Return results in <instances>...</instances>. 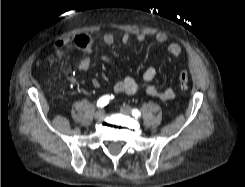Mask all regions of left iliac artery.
I'll list each match as a JSON object with an SVG mask.
<instances>
[{"label":"left iliac artery","instance_id":"left-iliac-artery-1","mask_svg":"<svg viewBox=\"0 0 245 187\" xmlns=\"http://www.w3.org/2000/svg\"><path fill=\"white\" fill-rule=\"evenodd\" d=\"M132 115L135 117V118H139L141 116V112L138 110V109H133L132 110Z\"/></svg>","mask_w":245,"mask_h":187}]
</instances>
